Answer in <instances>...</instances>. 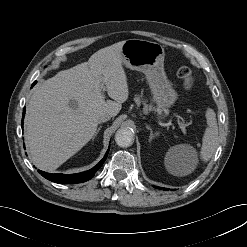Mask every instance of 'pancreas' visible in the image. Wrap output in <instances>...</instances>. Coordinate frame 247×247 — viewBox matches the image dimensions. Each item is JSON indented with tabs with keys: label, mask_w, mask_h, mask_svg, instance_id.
I'll use <instances>...</instances> for the list:
<instances>
[{
	"label": "pancreas",
	"mask_w": 247,
	"mask_h": 247,
	"mask_svg": "<svg viewBox=\"0 0 247 247\" xmlns=\"http://www.w3.org/2000/svg\"><path fill=\"white\" fill-rule=\"evenodd\" d=\"M135 101H136L137 104H140L142 102L139 97H137ZM143 104H144V108H143L144 113H148L149 111L153 110V106L152 105L146 104L145 101H143Z\"/></svg>",
	"instance_id": "pancreas-1"
}]
</instances>
